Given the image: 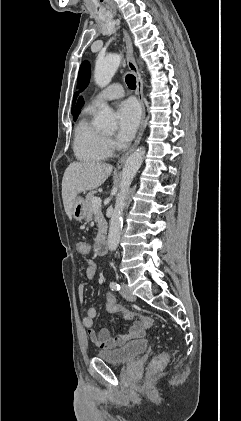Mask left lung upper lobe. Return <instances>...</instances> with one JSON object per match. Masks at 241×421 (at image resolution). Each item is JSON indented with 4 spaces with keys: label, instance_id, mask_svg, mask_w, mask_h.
Masks as SVG:
<instances>
[{
    "label": "left lung upper lobe",
    "instance_id": "5c2ea615",
    "mask_svg": "<svg viewBox=\"0 0 241 421\" xmlns=\"http://www.w3.org/2000/svg\"><path fill=\"white\" fill-rule=\"evenodd\" d=\"M89 78H90V65L87 61H84L79 69V74H78V84H77V88L80 89V91H83L88 83H89ZM78 93L74 94V99H73V107L76 101V97H77Z\"/></svg>",
    "mask_w": 241,
    "mask_h": 421
}]
</instances>
